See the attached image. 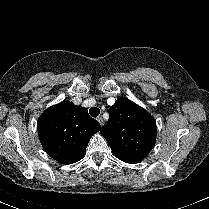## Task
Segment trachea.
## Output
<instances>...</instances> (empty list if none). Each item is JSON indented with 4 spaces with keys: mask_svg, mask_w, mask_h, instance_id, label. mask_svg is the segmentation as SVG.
Instances as JSON below:
<instances>
[{
    "mask_svg": "<svg viewBox=\"0 0 209 209\" xmlns=\"http://www.w3.org/2000/svg\"><path fill=\"white\" fill-rule=\"evenodd\" d=\"M89 113H90V115H91L92 117H97V116H99V114H100V109L97 108V107H91V108L89 109Z\"/></svg>",
    "mask_w": 209,
    "mask_h": 209,
    "instance_id": "1",
    "label": "trachea"
}]
</instances>
